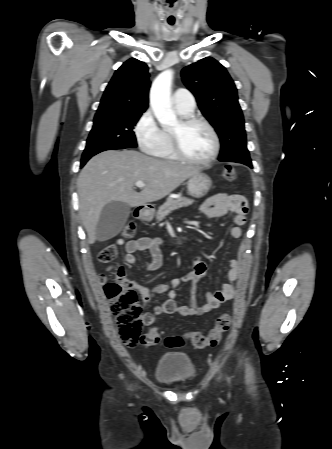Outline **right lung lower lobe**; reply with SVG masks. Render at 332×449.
I'll use <instances>...</instances> for the list:
<instances>
[{"mask_svg": "<svg viewBox=\"0 0 332 449\" xmlns=\"http://www.w3.org/2000/svg\"><path fill=\"white\" fill-rule=\"evenodd\" d=\"M91 157L82 158L81 167L85 165V163L90 159Z\"/></svg>", "mask_w": 332, "mask_h": 449, "instance_id": "right-lung-lower-lobe-1", "label": "right lung lower lobe"}]
</instances>
